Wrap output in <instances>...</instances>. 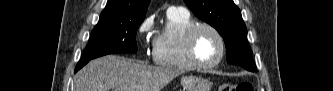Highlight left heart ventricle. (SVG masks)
<instances>
[{
	"label": "left heart ventricle",
	"mask_w": 333,
	"mask_h": 91,
	"mask_svg": "<svg viewBox=\"0 0 333 91\" xmlns=\"http://www.w3.org/2000/svg\"><path fill=\"white\" fill-rule=\"evenodd\" d=\"M220 54V43L209 30H201L196 38V55L203 63L215 61Z\"/></svg>",
	"instance_id": "obj_1"
}]
</instances>
